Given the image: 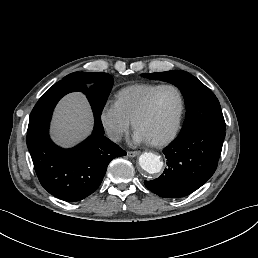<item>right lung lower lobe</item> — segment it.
Wrapping results in <instances>:
<instances>
[{"instance_id":"1","label":"right lung lower lobe","mask_w":258,"mask_h":258,"mask_svg":"<svg viewBox=\"0 0 258 258\" xmlns=\"http://www.w3.org/2000/svg\"><path fill=\"white\" fill-rule=\"evenodd\" d=\"M97 85L63 78L42 95L30 114L27 147L38 179L51 195L67 202L80 201L92 194L101 184L110 161L126 155L104 136L101 115L94 112L92 134L76 147L60 148L49 137V124L57 102L70 92L80 91L91 104Z\"/></svg>"}]
</instances>
